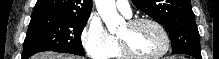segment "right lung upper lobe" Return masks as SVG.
<instances>
[{
  "instance_id": "right-lung-upper-lobe-1",
  "label": "right lung upper lobe",
  "mask_w": 219,
  "mask_h": 59,
  "mask_svg": "<svg viewBox=\"0 0 219 59\" xmlns=\"http://www.w3.org/2000/svg\"><path fill=\"white\" fill-rule=\"evenodd\" d=\"M92 0H38L32 14L89 16Z\"/></svg>"
}]
</instances>
